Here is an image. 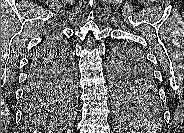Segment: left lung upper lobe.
Here are the masks:
<instances>
[{
  "mask_svg": "<svg viewBox=\"0 0 184 133\" xmlns=\"http://www.w3.org/2000/svg\"><path fill=\"white\" fill-rule=\"evenodd\" d=\"M113 90L119 112L139 124H160L163 119L159 94L136 88L137 81L156 87L151 66L142 52L133 45L120 44L110 60Z\"/></svg>",
  "mask_w": 184,
  "mask_h": 133,
  "instance_id": "5c2ea615",
  "label": "left lung upper lobe"
}]
</instances>
